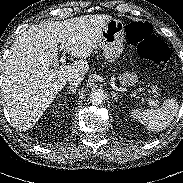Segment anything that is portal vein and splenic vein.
<instances>
[{
	"label": "portal vein and splenic vein",
	"mask_w": 183,
	"mask_h": 183,
	"mask_svg": "<svg viewBox=\"0 0 183 183\" xmlns=\"http://www.w3.org/2000/svg\"><path fill=\"white\" fill-rule=\"evenodd\" d=\"M60 50L63 51V52H65L66 47H65L64 44H62V45L60 46ZM60 62L65 63V62H66V57H65V56H62V57L60 58ZM145 100L148 102V104H149L150 106H156V103H155L153 100H151L150 98L145 97Z\"/></svg>",
	"instance_id": "18ae733b"
}]
</instances>
